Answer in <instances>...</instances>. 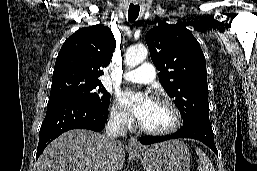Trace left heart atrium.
<instances>
[{
  "label": "left heart atrium",
  "mask_w": 257,
  "mask_h": 171,
  "mask_svg": "<svg viewBox=\"0 0 257 171\" xmlns=\"http://www.w3.org/2000/svg\"><path fill=\"white\" fill-rule=\"evenodd\" d=\"M119 100L139 121H141L154 104V100L138 93L124 92Z\"/></svg>",
  "instance_id": "left-heart-atrium-1"
}]
</instances>
